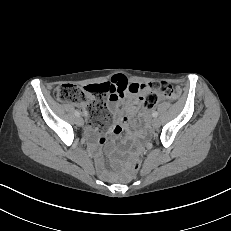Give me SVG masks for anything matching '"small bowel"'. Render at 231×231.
Instances as JSON below:
<instances>
[{
	"mask_svg": "<svg viewBox=\"0 0 231 231\" xmlns=\"http://www.w3.org/2000/svg\"><path fill=\"white\" fill-rule=\"evenodd\" d=\"M110 88L107 95L109 100V107L116 115L114 125L109 129L107 137L101 136L95 125L88 126V133L96 137L98 144L103 145L107 139L117 138L123 130L128 129L131 120L129 117L124 116L123 111H127L130 116H134L139 110L141 116L147 114V109L142 103V97L147 91V85L135 82H129L122 74L114 75L109 82H104ZM177 95L169 98L165 95L160 97L161 101L174 99ZM85 102L78 104L85 112ZM85 114H87L85 112Z\"/></svg>",
	"mask_w": 231,
	"mask_h": 231,
	"instance_id": "c3829d8e",
	"label": "small bowel"
}]
</instances>
